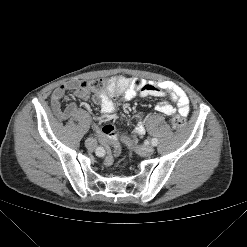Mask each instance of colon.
<instances>
[{"label":"colon","mask_w":247,"mask_h":247,"mask_svg":"<svg viewBox=\"0 0 247 247\" xmlns=\"http://www.w3.org/2000/svg\"><path fill=\"white\" fill-rule=\"evenodd\" d=\"M104 85H105V82L103 79H94L88 83H86V86L93 92H96V93H100L102 92L103 88H104ZM171 123H172V126L175 130H182L185 125H186V120L184 117L180 116V115H176L172 118L171 120ZM114 132V129L112 126H106L104 129H103V134L105 136H110L112 135Z\"/></svg>","instance_id":"5ec220e1"}]
</instances>
